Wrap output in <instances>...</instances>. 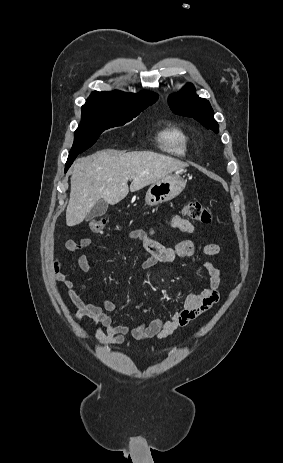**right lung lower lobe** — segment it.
I'll use <instances>...</instances> for the list:
<instances>
[{
	"label": "right lung lower lobe",
	"mask_w": 283,
	"mask_h": 463,
	"mask_svg": "<svg viewBox=\"0 0 283 463\" xmlns=\"http://www.w3.org/2000/svg\"><path fill=\"white\" fill-rule=\"evenodd\" d=\"M77 157V155L75 156H72V157H68V161L66 163V166H65V172L68 170V168L71 166L72 162L74 161V159Z\"/></svg>",
	"instance_id": "obj_1"
}]
</instances>
